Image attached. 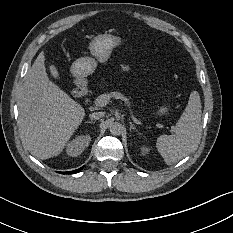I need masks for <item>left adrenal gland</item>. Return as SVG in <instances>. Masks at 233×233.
<instances>
[{
  "label": "left adrenal gland",
  "instance_id": "obj_1",
  "mask_svg": "<svg viewBox=\"0 0 233 233\" xmlns=\"http://www.w3.org/2000/svg\"><path fill=\"white\" fill-rule=\"evenodd\" d=\"M131 129H133V130H136L137 131V129H136V127H135V125L132 123V122H130V130Z\"/></svg>",
  "mask_w": 233,
  "mask_h": 233
}]
</instances>
